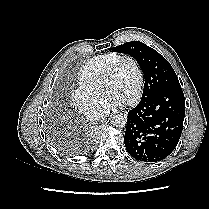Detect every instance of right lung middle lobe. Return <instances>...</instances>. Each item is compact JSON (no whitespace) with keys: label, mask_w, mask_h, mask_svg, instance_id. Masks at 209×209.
<instances>
[{"label":"right lung middle lobe","mask_w":209,"mask_h":209,"mask_svg":"<svg viewBox=\"0 0 209 209\" xmlns=\"http://www.w3.org/2000/svg\"><path fill=\"white\" fill-rule=\"evenodd\" d=\"M54 144L62 151L68 154H77L84 151V148L78 147L75 144H69L67 139L62 135H54L53 137Z\"/></svg>","instance_id":"right-lung-middle-lobe-1"}]
</instances>
